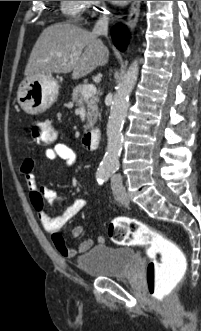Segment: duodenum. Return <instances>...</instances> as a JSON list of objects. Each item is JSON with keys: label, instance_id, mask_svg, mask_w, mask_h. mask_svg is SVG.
Returning <instances> with one entry per match:
<instances>
[{"label": "duodenum", "instance_id": "410a0bca", "mask_svg": "<svg viewBox=\"0 0 201 331\" xmlns=\"http://www.w3.org/2000/svg\"><path fill=\"white\" fill-rule=\"evenodd\" d=\"M82 140L87 148L95 150L101 143V132L97 128L89 129L83 134Z\"/></svg>", "mask_w": 201, "mask_h": 331}]
</instances>
